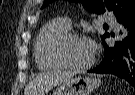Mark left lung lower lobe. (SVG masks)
I'll return each mask as SVG.
<instances>
[{
	"mask_svg": "<svg viewBox=\"0 0 135 95\" xmlns=\"http://www.w3.org/2000/svg\"><path fill=\"white\" fill-rule=\"evenodd\" d=\"M118 22L121 27L119 35L122 38L113 45L105 42V38L110 37V34L103 38L104 58L88 72L116 75L135 88V10ZM111 36L115 35L111 33Z\"/></svg>",
	"mask_w": 135,
	"mask_h": 95,
	"instance_id": "left-lung-lower-lobe-1",
	"label": "left lung lower lobe"
}]
</instances>
